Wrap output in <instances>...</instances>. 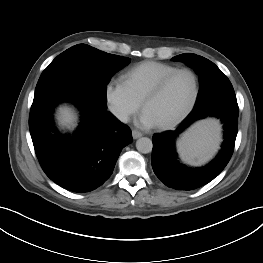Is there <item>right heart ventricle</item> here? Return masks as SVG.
Wrapping results in <instances>:
<instances>
[{"instance_id": "e07e8e85", "label": "right heart ventricle", "mask_w": 263, "mask_h": 263, "mask_svg": "<svg viewBox=\"0 0 263 263\" xmlns=\"http://www.w3.org/2000/svg\"><path fill=\"white\" fill-rule=\"evenodd\" d=\"M176 69L177 67L170 64L145 61L125 71L122 80L133 96L142 102L145 95L161 78Z\"/></svg>"}]
</instances>
